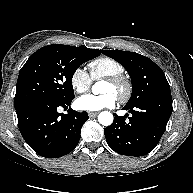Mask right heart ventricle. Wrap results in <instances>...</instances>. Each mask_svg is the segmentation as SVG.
I'll return each mask as SVG.
<instances>
[{
	"label": "right heart ventricle",
	"mask_w": 193,
	"mask_h": 193,
	"mask_svg": "<svg viewBox=\"0 0 193 193\" xmlns=\"http://www.w3.org/2000/svg\"><path fill=\"white\" fill-rule=\"evenodd\" d=\"M90 74L94 79L106 78L108 76L123 74L124 66L111 57H99L89 63Z\"/></svg>",
	"instance_id": "1"
}]
</instances>
